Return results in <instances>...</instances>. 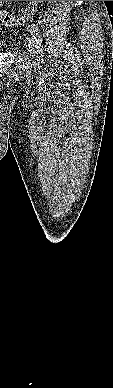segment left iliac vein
<instances>
[{
    "mask_svg": "<svg viewBox=\"0 0 113 388\" xmlns=\"http://www.w3.org/2000/svg\"><path fill=\"white\" fill-rule=\"evenodd\" d=\"M28 48H29V52L30 54L35 57L36 56V53H37V49H36V45H35V41L33 38L29 39L28 40Z\"/></svg>",
    "mask_w": 113,
    "mask_h": 388,
    "instance_id": "obj_1",
    "label": "left iliac vein"
}]
</instances>
